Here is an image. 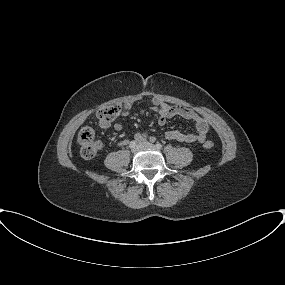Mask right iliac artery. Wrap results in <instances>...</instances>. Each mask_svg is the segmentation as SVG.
Wrapping results in <instances>:
<instances>
[{
	"label": "right iliac artery",
	"mask_w": 285,
	"mask_h": 285,
	"mask_svg": "<svg viewBox=\"0 0 285 285\" xmlns=\"http://www.w3.org/2000/svg\"><path fill=\"white\" fill-rule=\"evenodd\" d=\"M152 142H154V141H152ZM128 144H129L130 148H133L137 145V142L135 140H132V141L128 142Z\"/></svg>",
	"instance_id": "82829eb1"
}]
</instances>
